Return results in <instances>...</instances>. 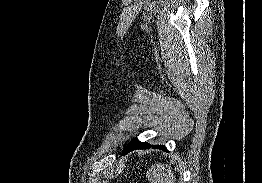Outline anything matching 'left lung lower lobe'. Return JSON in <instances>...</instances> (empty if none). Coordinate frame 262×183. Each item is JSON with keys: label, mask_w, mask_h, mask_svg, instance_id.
<instances>
[{"label": "left lung lower lobe", "mask_w": 262, "mask_h": 183, "mask_svg": "<svg viewBox=\"0 0 262 183\" xmlns=\"http://www.w3.org/2000/svg\"><path fill=\"white\" fill-rule=\"evenodd\" d=\"M153 147L155 149H164L166 150L165 146L163 145H156V146H151L147 143H142L140 142L137 138H134L123 150V154H127L132 150L135 149H146V148H150Z\"/></svg>", "instance_id": "left-lung-lower-lobe-1"}]
</instances>
